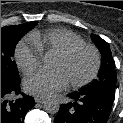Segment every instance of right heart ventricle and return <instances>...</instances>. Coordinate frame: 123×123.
I'll list each match as a JSON object with an SVG mask.
<instances>
[{
    "label": "right heart ventricle",
    "instance_id": "e07e8e85",
    "mask_svg": "<svg viewBox=\"0 0 123 123\" xmlns=\"http://www.w3.org/2000/svg\"><path fill=\"white\" fill-rule=\"evenodd\" d=\"M29 38L40 49L41 53H58L72 46L85 43L80 35L64 28L34 32Z\"/></svg>",
    "mask_w": 123,
    "mask_h": 123
}]
</instances>
